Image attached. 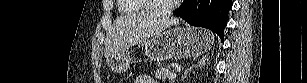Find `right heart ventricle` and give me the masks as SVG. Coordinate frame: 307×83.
<instances>
[{"mask_svg":"<svg viewBox=\"0 0 307 83\" xmlns=\"http://www.w3.org/2000/svg\"><path fill=\"white\" fill-rule=\"evenodd\" d=\"M118 10L121 14L139 13L146 10L140 0H119Z\"/></svg>","mask_w":307,"mask_h":83,"instance_id":"1","label":"right heart ventricle"}]
</instances>
